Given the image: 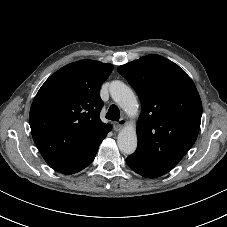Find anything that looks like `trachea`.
Here are the masks:
<instances>
[{"label":"trachea","mask_w":227,"mask_h":227,"mask_svg":"<svg viewBox=\"0 0 227 227\" xmlns=\"http://www.w3.org/2000/svg\"><path fill=\"white\" fill-rule=\"evenodd\" d=\"M106 118L112 121H118L120 119V110L115 104L109 107Z\"/></svg>","instance_id":"3493384b"}]
</instances>
